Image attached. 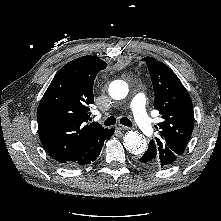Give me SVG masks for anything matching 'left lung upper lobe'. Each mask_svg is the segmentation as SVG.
<instances>
[{
    "instance_id": "left-lung-upper-lobe-1",
    "label": "left lung upper lobe",
    "mask_w": 221,
    "mask_h": 221,
    "mask_svg": "<svg viewBox=\"0 0 221 221\" xmlns=\"http://www.w3.org/2000/svg\"><path fill=\"white\" fill-rule=\"evenodd\" d=\"M154 89V108L162 115L158 123L159 137L150 141L167 167L184 152L194 127L191 98L176 74L164 63L145 57Z\"/></svg>"
}]
</instances>
